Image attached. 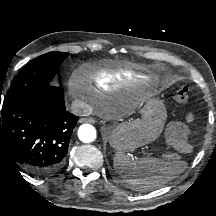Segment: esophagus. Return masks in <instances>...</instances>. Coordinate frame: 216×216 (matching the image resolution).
<instances>
[{
  "label": "esophagus",
  "mask_w": 216,
  "mask_h": 216,
  "mask_svg": "<svg viewBox=\"0 0 216 216\" xmlns=\"http://www.w3.org/2000/svg\"><path fill=\"white\" fill-rule=\"evenodd\" d=\"M84 122H87V123H95V119L92 118V117L80 119V123H84Z\"/></svg>",
  "instance_id": "1"
}]
</instances>
